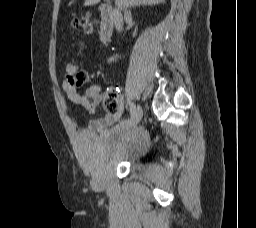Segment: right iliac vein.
Instances as JSON below:
<instances>
[{
  "label": "right iliac vein",
  "instance_id": "right-iliac-vein-1",
  "mask_svg": "<svg viewBox=\"0 0 256 228\" xmlns=\"http://www.w3.org/2000/svg\"><path fill=\"white\" fill-rule=\"evenodd\" d=\"M143 115L142 108L137 106L134 115L131 117L130 121L128 122V126L130 128L135 127L141 120Z\"/></svg>",
  "mask_w": 256,
  "mask_h": 228
}]
</instances>
